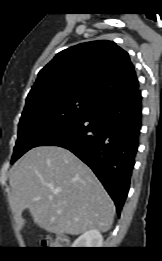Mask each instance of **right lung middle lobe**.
Listing matches in <instances>:
<instances>
[{
    "label": "right lung middle lobe",
    "instance_id": "obj_1",
    "mask_svg": "<svg viewBox=\"0 0 162 261\" xmlns=\"http://www.w3.org/2000/svg\"><path fill=\"white\" fill-rule=\"evenodd\" d=\"M97 104V101L78 94H61L26 100L11 163L35 147L49 132L85 115Z\"/></svg>",
    "mask_w": 162,
    "mask_h": 261
}]
</instances>
